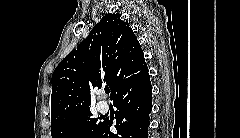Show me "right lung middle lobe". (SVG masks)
Segmentation results:
<instances>
[{"mask_svg": "<svg viewBox=\"0 0 240 138\" xmlns=\"http://www.w3.org/2000/svg\"><path fill=\"white\" fill-rule=\"evenodd\" d=\"M102 124L87 109L71 119L52 124L51 135L52 138H94Z\"/></svg>", "mask_w": 240, "mask_h": 138, "instance_id": "dd1d6c3e", "label": "right lung middle lobe"}]
</instances>
